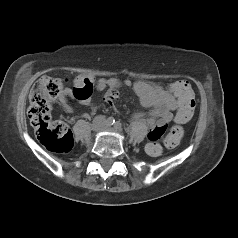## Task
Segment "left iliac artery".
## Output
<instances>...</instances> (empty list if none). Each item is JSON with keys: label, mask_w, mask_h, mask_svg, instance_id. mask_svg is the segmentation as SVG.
Here are the masks:
<instances>
[{"label": "left iliac artery", "mask_w": 238, "mask_h": 238, "mask_svg": "<svg viewBox=\"0 0 238 238\" xmlns=\"http://www.w3.org/2000/svg\"><path fill=\"white\" fill-rule=\"evenodd\" d=\"M114 128L116 130H121V123L119 121H116L115 124H114Z\"/></svg>", "instance_id": "obj_1"}]
</instances>
